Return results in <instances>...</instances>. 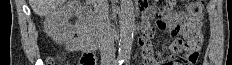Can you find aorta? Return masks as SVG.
I'll use <instances>...</instances> for the list:
<instances>
[{
	"label": "aorta",
	"instance_id": "obj_1",
	"mask_svg": "<svg viewBox=\"0 0 232 65\" xmlns=\"http://www.w3.org/2000/svg\"><path fill=\"white\" fill-rule=\"evenodd\" d=\"M119 56L128 58L131 55L135 31V13L132 0H121L120 10Z\"/></svg>",
	"mask_w": 232,
	"mask_h": 65
}]
</instances>
